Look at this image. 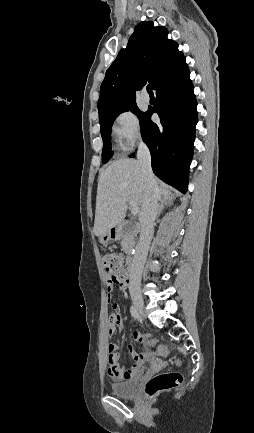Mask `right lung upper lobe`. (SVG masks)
<instances>
[{"instance_id": "cb5924a9", "label": "right lung upper lobe", "mask_w": 254, "mask_h": 433, "mask_svg": "<svg viewBox=\"0 0 254 433\" xmlns=\"http://www.w3.org/2000/svg\"><path fill=\"white\" fill-rule=\"evenodd\" d=\"M165 27L139 23L128 45L108 68L100 88L99 116L122 105L136 102V90L149 82L154 89L185 58L178 44L167 38Z\"/></svg>"}]
</instances>
